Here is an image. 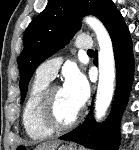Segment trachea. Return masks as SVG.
Masks as SVG:
<instances>
[{"mask_svg": "<svg viewBox=\"0 0 139 150\" xmlns=\"http://www.w3.org/2000/svg\"><path fill=\"white\" fill-rule=\"evenodd\" d=\"M88 53H94V51L93 50H88Z\"/></svg>", "mask_w": 139, "mask_h": 150, "instance_id": "trachea-1", "label": "trachea"}]
</instances>
